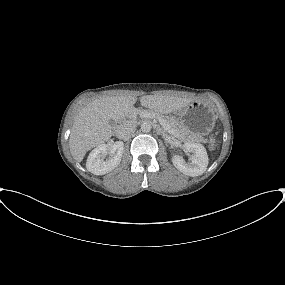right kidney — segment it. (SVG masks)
<instances>
[{
    "label": "right kidney",
    "instance_id": "right-kidney-1",
    "mask_svg": "<svg viewBox=\"0 0 285 285\" xmlns=\"http://www.w3.org/2000/svg\"><path fill=\"white\" fill-rule=\"evenodd\" d=\"M123 150L124 144L120 141L115 142L111 147L106 144L98 145L88 156L87 170L95 175H104L112 171L121 162ZM107 153L110 154V157L104 160Z\"/></svg>",
    "mask_w": 285,
    "mask_h": 285
}]
</instances>
